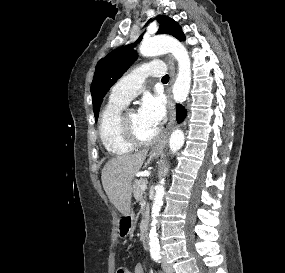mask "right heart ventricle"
Instances as JSON below:
<instances>
[{"label": "right heart ventricle", "mask_w": 285, "mask_h": 273, "mask_svg": "<svg viewBox=\"0 0 285 273\" xmlns=\"http://www.w3.org/2000/svg\"><path fill=\"white\" fill-rule=\"evenodd\" d=\"M125 103L112 102L104 107L100 114L98 133L104 148L113 155H126L134 146L129 144L120 131V116Z\"/></svg>", "instance_id": "obj_1"}]
</instances>
